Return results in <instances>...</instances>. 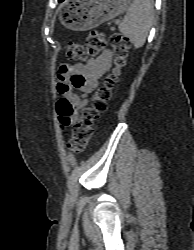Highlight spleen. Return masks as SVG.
<instances>
[{"label":"spleen","instance_id":"obj_1","mask_svg":"<svg viewBox=\"0 0 194 250\" xmlns=\"http://www.w3.org/2000/svg\"><path fill=\"white\" fill-rule=\"evenodd\" d=\"M153 0H133L119 24V31L135 48L142 47L154 19Z\"/></svg>","mask_w":194,"mask_h":250}]
</instances>
